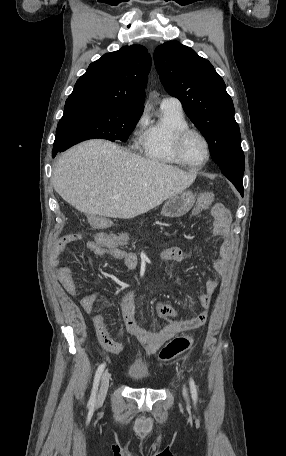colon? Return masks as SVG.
I'll list each match as a JSON object with an SVG mask.
<instances>
[{
	"label": "colon",
	"mask_w": 286,
	"mask_h": 456,
	"mask_svg": "<svg viewBox=\"0 0 286 456\" xmlns=\"http://www.w3.org/2000/svg\"><path fill=\"white\" fill-rule=\"evenodd\" d=\"M214 201V194L211 192L203 193L199 197V205L206 207L212 204ZM72 239H78L80 236L78 234H72ZM103 240L106 243L111 242L110 237H104ZM192 346V339L190 337L181 336L173 339L168 343L160 352L159 356L162 360H171L178 355L186 352Z\"/></svg>",
	"instance_id": "5ec220e1"
}]
</instances>
